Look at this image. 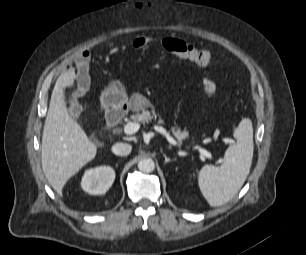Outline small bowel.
<instances>
[{"label":"small bowel","mask_w":306,"mask_h":255,"mask_svg":"<svg viewBox=\"0 0 306 255\" xmlns=\"http://www.w3.org/2000/svg\"><path fill=\"white\" fill-rule=\"evenodd\" d=\"M88 61H89V54L86 53V52L82 53L81 56H80V63L85 64Z\"/></svg>","instance_id":"c3829d8e"}]
</instances>
